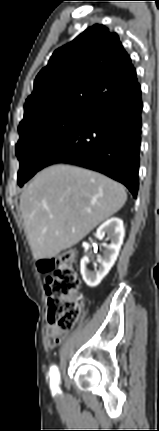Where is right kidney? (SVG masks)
<instances>
[{
	"label": "right kidney",
	"mask_w": 159,
	"mask_h": 431,
	"mask_svg": "<svg viewBox=\"0 0 159 431\" xmlns=\"http://www.w3.org/2000/svg\"><path fill=\"white\" fill-rule=\"evenodd\" d=\"M107 234V239L110 240L109 244H104L105 251L102 258H98V266L95 265L94 272L87 269L89 260L82 258L80 262V271L84 282L89 287L98 286L103 278L109 273L113 267L123 244L125 230L123 221L119 218H111L104 222L96 232L97 238H102L104 234Z\"/></svg>",
	"instance_id": "1"
}]
</instances>
